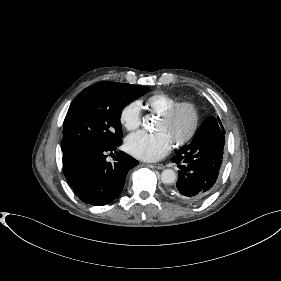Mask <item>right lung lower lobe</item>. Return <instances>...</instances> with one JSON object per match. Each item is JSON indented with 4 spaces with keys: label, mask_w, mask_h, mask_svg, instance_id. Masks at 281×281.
Instances as JSON below:
<instances>
[{
    "label": "right lung lower lobe",
    "mask_w": 281,
    "mask_h": 281,
    "mask_svg": "<svg viewBox=\"0 0 281 281\" xmlns=\"http://www.w3.org/2000/svg\"><path fill=\"white\" fill-rule=\"evenodd\" d=\"M121 143L83 148L63 158L67 182L84 203L106 205L122 192L128 171L139 162L124 152L117 154L115 162L106 161V152L114 151Z\"/></svg>",
    "instance_id": "right-lung-lower-lobe-1"
}]
</instances>
